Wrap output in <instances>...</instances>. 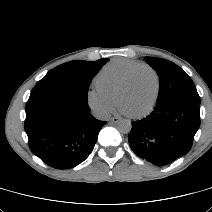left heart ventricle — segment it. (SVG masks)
Returning <instances> with one entry per match:
<instances>
[{
    "label": "left heart ventricle",
    "instance_id": "1",
    "mask_svg": "<svg viewBox=\"0 0 212 212\" xmlns=\"http://www.w3.org/2000/svg\"><path fill=\"white\" fill-rule=\"evenodd\" d=\"M155 80L151 72L141 70L135 76L131 85L122 94L120 102L131 114L145 110L153 100Z\"/></svg>",
    "mask_w": 212,
    "mask_h": 212
}]
</instances>
